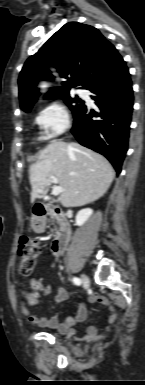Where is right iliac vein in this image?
<instances>
[{"mask_svg":"<svg viewBox=\"0 0 145 385\" xmlns=\"http://www.w3.org/2000/svg\"><path fill=\"white\" fill-rule=\"evenodd\" d=\"M81 281H82V284L85 288L89 287L90 285V280L89 278L85 275V274H82L81 275Z\"/></svg>","mask_w":145,"mask_h":385,"instance_id":"63e3f726","label":"right iliac vein"}]
</instances>
